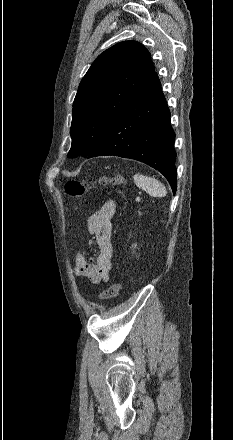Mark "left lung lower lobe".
I'll list each match as a JSON object with an SVG mask.
<instances>
[{"instance_id": "0a47b994", "label": "left lung lower lobe", "mask_w": 233, "mask_h": 440, "mask_svg": "<svg viewBox=\"0 0 233 440\" xmlns=\"http://www.w3.org/2000/svg\"><path fill=\"white\" fill-rule=\"evenodd\" d=\"M175 133L160 81L154 72L114 120L108 134L87 158L114 155L146 163L176 192Z\"/></svg>"}]
</instances>
